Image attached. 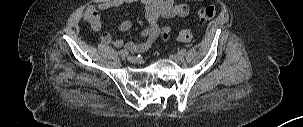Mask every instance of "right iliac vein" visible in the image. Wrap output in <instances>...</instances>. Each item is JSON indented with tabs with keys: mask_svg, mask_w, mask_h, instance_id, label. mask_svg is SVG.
Returning <instances> with one entry per match:
<instances>
[{
	"mask_svg": "<svg viewBox=\"0 0 303 127\" xmlns=\"http://www.w3.org/2000/svg\"><path fill=\"white\" fill-rule=\"evenodd\" d=\"M127 60H128L130 63H134V64H136V63L139 62V59H138L137 57H135V56H128V57H127Z\"/></svg>",
	"mask_w": 303,
	"mask_h": 127,
	"instance_id": "obj_1",
	"label": "right iliac vein"
}]
</instances>
